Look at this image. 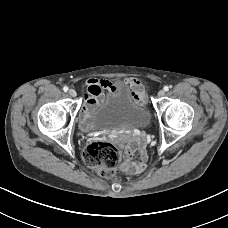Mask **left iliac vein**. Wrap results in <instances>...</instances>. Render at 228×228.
<instances>
[{"label":"left iliac vein","mask_w":228,"mask_h":228,"mask_svg":"<svg viewBox=\"0 0 228 228\" xmlns=\"http://www.w3.org/2000/svg\"><path fill=\"white\" fill-rule=\"evenodd\" d=\"M164 95H165V91L164 90L158 91V97H163Z\"/></svg>","instance_id":"left-iliac-vein-1"}]
</instances>
